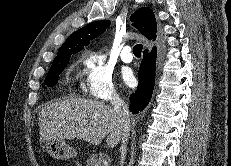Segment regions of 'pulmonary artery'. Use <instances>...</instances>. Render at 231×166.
Returning a JSON list of instances; mask_svg holds the SVG:
<instances>
[{"label": "pulmonary artery", "instance_id": "pulmonary-artery-1", "mask_svg": "<svg viewBox=\"0 0 231 166\" xmlns=\"http://www.w3.org/2000/svg\"><path fill=\"white\" fill-rule=\"evenodd\" d=\"M132 48L129 45H126L123 47L121 54H120V58L124 63H130L133 60V56H132Z\"/></svg>", "mask_w": 231, "mask_h": 166}]
</instances>
